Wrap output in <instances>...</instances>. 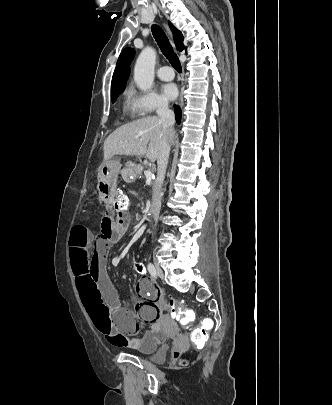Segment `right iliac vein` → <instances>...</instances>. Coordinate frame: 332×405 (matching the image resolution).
<instances>
[{"instance_id": "1", "label": "right iliac vein", "mask_w": 332, "mask_h": 405, "mask_svg": "<svg viewBox=\"0 0 332 405\" xmlns=\"http://www.w3.org/2000/svg\"><path fill=\"white\" fill-rule=\"evenodd\" d=\"M155 270H156V274L163 278L164 277V273L163 270L161 269V267L158 264H155Z\"/></svg>"}]
</instances>
